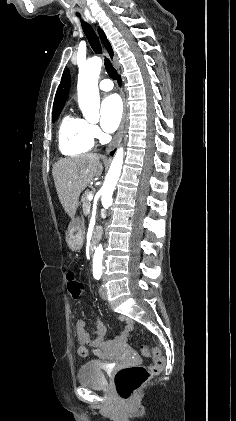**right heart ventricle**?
Wrapping results in <instances>:
<instances>
[{
  "instance_id": "obj_1",
  "label": "right heart ventricle",
  "mask_w": 236,
  "mask_h": 421,
  "mask_svg": "<svg viewBox=\"0 0 236 421\" xmlns=\"http://www.w3.org/2000/svg\"><path fill=\"white\" fill-rule=\"evenodd\" d=\"M93 136L89 122L81 117L67 114L58 129V146L67 157H80L93 148Z\"/></svg>"
}]
</instances>
